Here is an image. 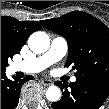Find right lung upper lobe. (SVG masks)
I'll use <instances>...</instances> for the list:
<instances>
[{
    "instance_id": "right-lung-upper-lobe-1",
    "label": "right lung upper lobe",
    "mask_w": 109,
    "mask_h": 109,
    "mask_svg": "<svg viewBox=\"0 0 109 109\" xmlns=\"http://www.w3.org/2000/svg\"><path fill=\"white\" fill-rule=\"evenodd\" d=\"M40 27L38 21H18L9 16L1 17V42L13 56L20 53L27 38Z\"/></svg>"
}]
</instances>
